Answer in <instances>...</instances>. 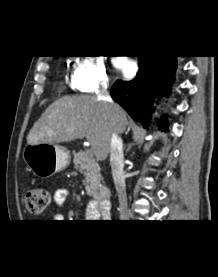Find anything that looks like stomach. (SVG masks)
I'll list each match as a JSON object with an SVG mask.
<instances>
[{
    "label": "stomach",
    "instance_id": "0dacf381",
    "mask_svg": "<svg viewBox=\"0 0 218 277\" xmlns=\"http://www.w3.org/2000/svg\"><path fill=\"white\" fill-rule=\"evenodd\" d=\"M23 160L40 177H49L67 168L70 155L63 146L57 144H28L22 154Z\"/></svg>",
    "mask_w": 218,
    "mask_h": 277
}]
</instances>
